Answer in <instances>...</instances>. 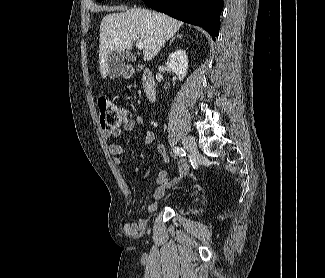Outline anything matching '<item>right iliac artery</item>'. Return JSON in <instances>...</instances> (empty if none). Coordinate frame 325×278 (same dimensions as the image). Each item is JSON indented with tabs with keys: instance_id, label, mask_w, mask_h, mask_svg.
Returning <instances> with one entry per match:
<instances>
[{
	"instance_id": "1",
	"label": "right iliac artery",
	"mask_w": 325,
	"mask_h": 278,
	"mask_svg": "<svg viewBox=\"0 0 325 278\" xmlns=\"http://www.w3.org/2000/svg\"><path fill=\"white\" fill-rule=\"evenodd\" d=\"M173 150L177 155L186 156V152L182 147H175Z\"/></svg>"
}]
</instances>
